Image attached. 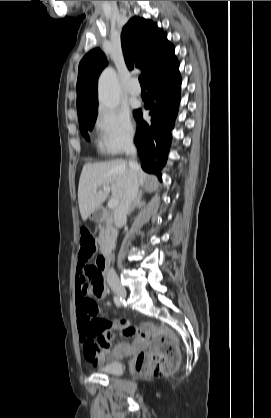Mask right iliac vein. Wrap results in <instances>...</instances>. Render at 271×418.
<instances>
[{"label": "right iliac vein", "mask_w": 271, "mask_h": 418, "mask_svg": "<svg viewBox=\"0 0 271 418\" xmlns=\"http://www.w3.org/2000/svg\"><path fill=\"white\" fill-rule=\"evenodd\" d=\"M112 290L121 299H125L126 298L127 293H126V290H125V288L123 286H121V285H114L112 287Z\"/></svg>", "instance_id": "right-iliac-vein-1"}]
</instances>
